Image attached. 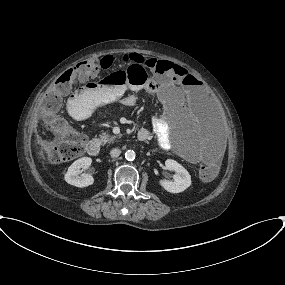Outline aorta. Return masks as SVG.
Masks as SVG:
<instances>
[{
	"label": "aorta",
	"mask_w": 285,
	"mask_h": 285,
	"mask_svg": "<svg viewBox=\"0 0 285 285\" xmlns=\"http://www.w3.org/2000/svg\"><path fill=\"white\" fill-rule=\"evenodd\" d=\"M135 156H136V154L133 150H127L125 152V158L128 161H133L135 159Z\"/></svg>",
	"instance_id": "1"
}]
</instances>
